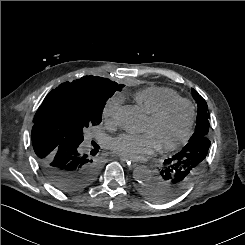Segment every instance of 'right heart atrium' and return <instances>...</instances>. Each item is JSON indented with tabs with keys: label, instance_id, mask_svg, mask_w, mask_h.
<instances>
[{
	"label": "right heart atrium",
	"instance_id": "1",
	"mask_svg": "<svg viewBox=\"0 0 245 245\" xmlns=\"http://www.w3.org/2000/svg\"><path fill=\"white\" fill-rule=\"evenodd\" d=\"M121 102L122 98L119 96L109 98L103 109L104 118L110 122H114Z\"/></svg>",
	"mask_w": 245,
	"mask_h": 245
}]
</instances>
